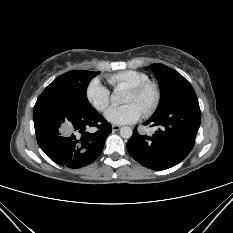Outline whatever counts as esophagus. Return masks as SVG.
<instances>
[{
  "label": "esophagus",
  "mask_w": 233,
  "mask_h": 233,
  "mask_svg": "<svg viewBox=\"0 0 233 233\" xmlns=\"http://www.w3.org/2000/svg\"><path fill=\"white\" fill-rule=\"evenodd\" d=\"M120 128H121V126H119V125H112L113 131H118V130H120Z\"/></svg>",
  "instance_id": "34e87169"
}]
</instances>
